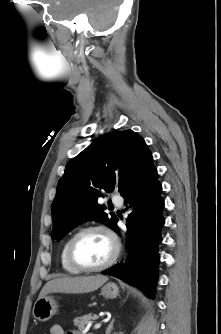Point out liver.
<instances>
[{
  "mask_svg": "<svg viewBox=\"0 0 221 334\" xmlns=\"http://www.w3.org/2000/svg\"><path fill=\"white\" fill-rule=\"evenodd\" d=\"M108 277L103 275L96 276H78V277H63L53 279L47 282L42 288L39 298L46 296L49 293H86L97 290L102 286Z\"/></svg>",
  "mask_w": 221,
  "mask_h": 334,
  "instance_id": "liver-1",
  "label": "liver"
}]
</instances>
